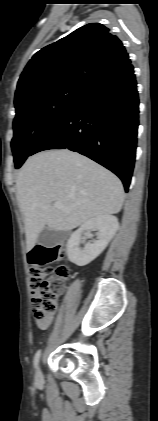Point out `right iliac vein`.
<instances>
[{"label": "right iliac vein", "instance_id": "1", "mask_svg": "<svg viewBox=\"0 0 158 421\" xmlns=\"http://www.w3.org/2000/svg\"><path fill=\"white\" fill-rule=\"evenodd\" d=\"M35 378H36L37 382H41L43 380V376H42V372H41L40 367L37 368Z\"/></svg>", "mask_w": 158, "mask_h": 421}]
</instances>
